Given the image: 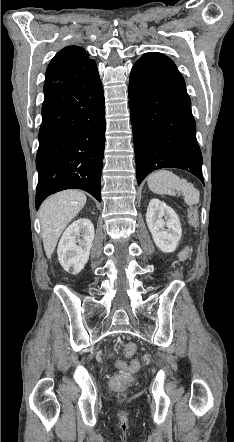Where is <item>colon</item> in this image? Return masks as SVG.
<instances>
[{"label":"colon","mask_w":234,"mask_h":442,"mask_svg":"<svg viewBox=\"0 0 234 442\" xmlns=\"http://www.w3.org/2000/svg\"><path fill=\"white\" fill-rule=\"evenodd\" d=\"M189 220L190 223L194 226L198 225L199 217H198V211L195 207L191 208L189 210ZM185 268L191 267L190 261L184 262ZM137 348L136 345L133 343H128L125 346V354L126 356L130 357L135 354ZM110 355H113V352H110ZM140 359L138 357H133L131 359L130 363H126L124 361H117L116 366L122 371L128 372L123 374H118L113 378V380L109 381V388L110 389H127L130 385V382H135V377H130L129 373L135 372L139 369Z\"/></svg>","instance_id":"5ec220e1"}]
</instances>
